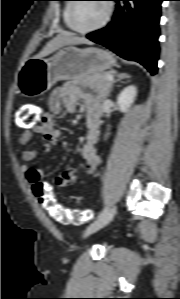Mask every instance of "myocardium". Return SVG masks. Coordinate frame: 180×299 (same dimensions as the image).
I'll list each match as a JSON object with an SVG mask.
<instances>
[{
    "label": "myocardium",
    "instance_id": "1",
    "mask_svg": "<svg viewBox=\"0 0 180 299\" xmlns=\"http://www.w3.org/2000/svg\"><path fill=\"white\" fill-rule=\"evenodd\" d=\"M77 1L78 0H75V2H73L71 4V8H70V12H69L70 26L75 32H77L79 34H88V33L96 32V31L103 29L110 22L113 12H114V7L110 0H104L105 7H106V13H105L103 20L94 27L85 28V29L79 28L75 24V11H76V7L78 5Z\"/></svg>",
    "mask_w": 180,
    "mask_h": 299
}]
</instances>
